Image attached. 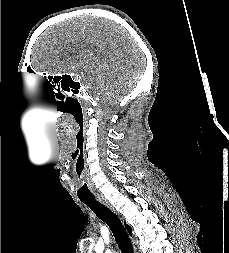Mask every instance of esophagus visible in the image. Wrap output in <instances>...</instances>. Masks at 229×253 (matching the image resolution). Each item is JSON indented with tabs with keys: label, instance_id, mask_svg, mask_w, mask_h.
<instances>
[{
	"label": "esophagus",
	"instance_id": "esophagus-1",
	"mask_svg": "<svg viewBox=\"0 0 229 253\" xmlns=\"http://www.w3.org/2000/svg\"><path fill=\"white\" fill-rule=\"evenodd\" d=\"M97 198H98V200H99L101 203H103V204H105V205L108 206V203H107L103 198H101L100 196H98Z\"/></svg>",
	"mask_w": 229,
	"mask_h": 253
}]
</instances>
